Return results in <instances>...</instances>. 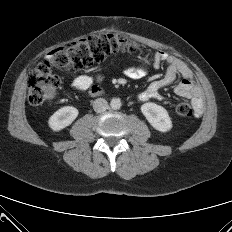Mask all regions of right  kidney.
Segmentation results:
<instances>
[{"instance_id": "obj_1", "label": "right kidney", "mask_w": 232, "mask_h": 232, "mask_svg": "<svg viewBox=\"0 0 232 232\" xmlns=\"http://www.w3.org/2000/svg\"><path fill=\"white\" fill-rule=\"evenodd\" d=\"M78 110L73 106L58 109L48 120V125L53 131H60L69 126L78 116Z\"/></svg>"}]
</instances>
